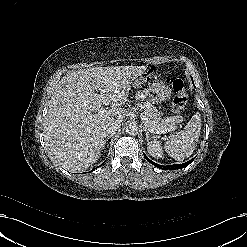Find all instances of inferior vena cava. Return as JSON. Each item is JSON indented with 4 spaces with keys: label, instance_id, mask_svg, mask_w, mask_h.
<instances>
[{
    "label": "inferior vena cava",
    "instance_id": "1",
    "mask_svg": "<svg viewBox=\"0 0 247 247\" xmlns=\"http://www.w3.org/2000/svg\"><path fill=\"white\" fill-rule=\"evenodd\" d=\"M121 128V122L120 121H109L104 126V131L106 135H112L115 134L119 129Z\"/></svg>",
    "mask_w": 247,
    "mask_h": 247
}]
</instances>
